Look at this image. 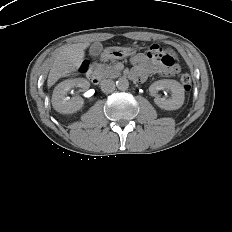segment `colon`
I'll return each instance as SVG.
<instances>
[{
  "label": "colon",
  "instance_id": "obj_1",
  "mask_svg": "<svg viewBox=\"0 0 232 232\" xmlns=\"http://www.w3.org/2000/svg\"><path fill=\"white\" fill-rule=\"evenodd\" d=\"M147 57L154 63L163 66L168 70H175L178 67V60L167 50L158 45H153L147 51ZM87 65L83 63L80 71L84 72ZM181 84L185 91H189L192 86V79L188 74H182L180 78Z\"/></svg>",
  "mask_w": 232,
  "mask_h": 232
}]
</instances>
